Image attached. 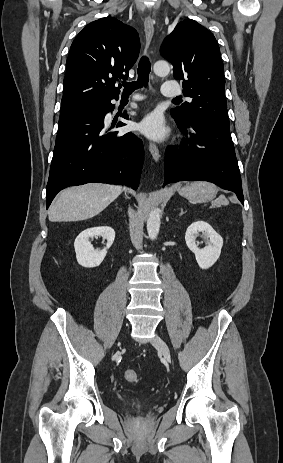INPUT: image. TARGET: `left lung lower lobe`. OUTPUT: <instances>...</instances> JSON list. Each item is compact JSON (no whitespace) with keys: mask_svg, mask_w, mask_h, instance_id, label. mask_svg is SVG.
<instances>
[{"mask_svg":"<svg viewBox=\"0 0 283 463\" xmlns=\"http://www.w3.org/2000/svg\"><path fill=\"white\" fill-rule=\"evenodd\" d=\"M176 122L188 136L183 140L181 149L166 152L164 184L181 180L209 181L235 192L244 204L230 130L207 122Z\"/></svg>","mask_w":283,"mask_h":463,"instance_id":"obj_1","label":"left lung lower lobe"}]
</instances>
